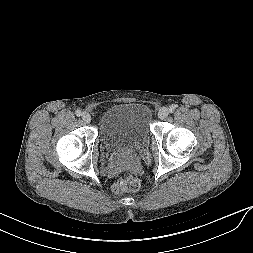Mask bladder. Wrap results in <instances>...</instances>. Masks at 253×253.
<instances>
[{
  "label": "bladder",
  "instance_id": "obj_1",
  "mask_svg": "<svg viewBox=\"0 0 253 253\" xmlns=\"http://www.w3.org/2000/svg\"><path fill=\"white\" fill-rule=\"evenodd\" d=\"M150 126L151 112L147 105L122 102L103 114L99 134L108 153H129L145 145L151 134Z\"/></svg>",
  "mask_w": 253,
  "mask_h": 253
}]
</instances>
